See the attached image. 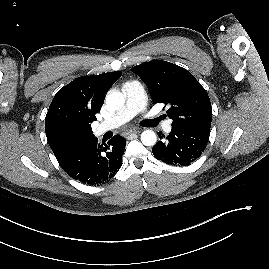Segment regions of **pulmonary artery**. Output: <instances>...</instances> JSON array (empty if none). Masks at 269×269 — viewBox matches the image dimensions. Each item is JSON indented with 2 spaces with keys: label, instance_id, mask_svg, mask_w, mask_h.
I'll return each mask as SVG.
<instances>
[{
  "label": "pulmonary artery",
  "instance_id": "obj_1",
  "mask_svg": "<svg viewBox=\"0 0 269 269\" xmlns=\"http://www.w3.org/2000/svg\"><path fill=\"white\" fill-rule=\"evenodd\" d=\"M122 92L126 98V104L113 117L97 126L96 135H101L123 125L136 114L143 112L146 109L145 90L139 82L129 81L124 83ZM164 129L168 133L171 131L172 127L170 120L164 122Z\"/></svg>",
  "mask_w": 269,
  "mask_h": 269
}]
</instances>
